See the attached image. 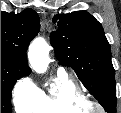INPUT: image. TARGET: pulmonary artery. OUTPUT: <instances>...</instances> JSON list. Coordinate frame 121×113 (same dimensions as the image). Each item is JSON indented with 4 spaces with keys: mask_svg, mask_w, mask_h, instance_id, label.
<instances>
[{
    "mask_svg": "<svg viewBox=\"0 0 121 113\" xmlns=\"http://www.w3.org/2000/svg\"><path fill=\"white\" fill-rule=\"evenodd\" d=\"M59 72H63V70L62 69H59Z\"/></svg>",
    "mask_w": 121,
    "mask_h": 113,
    "instance_id": "pulmonary-artery-1",
    "label": "pulmonary artery"
}]
</instances>
